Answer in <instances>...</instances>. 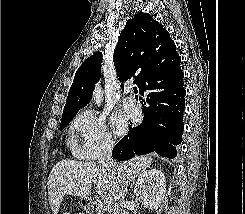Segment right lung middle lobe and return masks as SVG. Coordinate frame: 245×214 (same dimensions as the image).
Returning a JSON list of instances; mask_svg holds the SVG:
<instances>
[{"mask_svg":"<svg viewBox=\"0 0 245 214\" xmlns=\"http://www.w3.org/2000/svg\"><path fill=\"white\" fill-rule=\"evenodd\" d=\"M75 115L76 113L63 114L61 125H60V130H63L67 126V124L74 118Z\"/></svg>","mask_w":245,"mask_h":214,"instance_id":"dd1d6c3e","label":"right lung middle lobe"}]
</instances>
